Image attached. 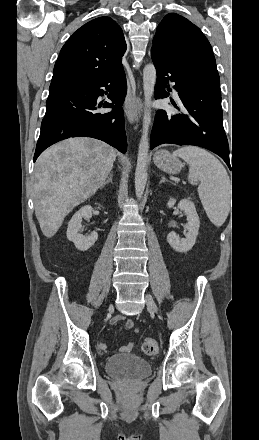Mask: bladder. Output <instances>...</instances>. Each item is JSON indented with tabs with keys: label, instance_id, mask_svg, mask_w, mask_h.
I'll return each instance as SVG.
<instances>
[{
	"label": "bladder",
	"instance_id": "1",
	"mask_svg": "<svg viewBox=\"0 0 259 440\" xmlns=\"http://www.w3.org/2000/svg\"><path fill=\"white\" fill-rule=\"evenodd\" d=\"M104 368L113 378L135 380L147 377L152 371L148 360L132 353L111 355L106 359Z\"/></svg>",
	"mask_w": 259,
	"mask_h": 440
}]
</instances>
